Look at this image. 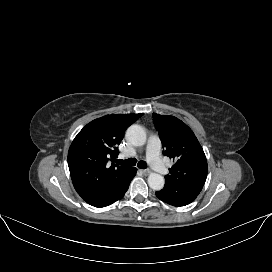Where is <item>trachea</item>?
<instances>
[{
  "label": "trachea",
  "instance_id": "obj_1",
  "mask_svg": "<svg viewBox=\"0 0 272 272\" xmlns=\"http://www.w3.org/2000/svg\"><path fill=\"white\" fill-rule=\"evenodd\" d=\"M116 163L123 165V166H135L137 164V166L141 169H146L147 168V164L145 163V161H139L137 163L136 159L130 158V159H126V160H119L117 159L115 161Z\"/></svg>",
  "mask_w": 272,
  "mask_h": 272
}]
</instances>
